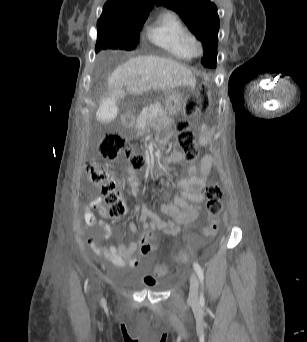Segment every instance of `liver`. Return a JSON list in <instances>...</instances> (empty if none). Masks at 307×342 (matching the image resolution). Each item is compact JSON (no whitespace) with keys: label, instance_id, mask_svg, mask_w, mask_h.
<instances>
[{"label":"liver","instance_id":"obj_1","mask_svg":"<svg viewBox=\"0 0 307 342\" xmlns=\"http://www.w3.org/2000/svg\"><path fill=\"white\" fill-rule=\"evenodd\" d=\"M196 80L189 68L160 56H137L118 66L108 78V95L143 94L149 90H173L189 86ZM123 86L126 88L123 90Z\"/></svg>","mask_w":307,"mask_h":342}]
</instances>
